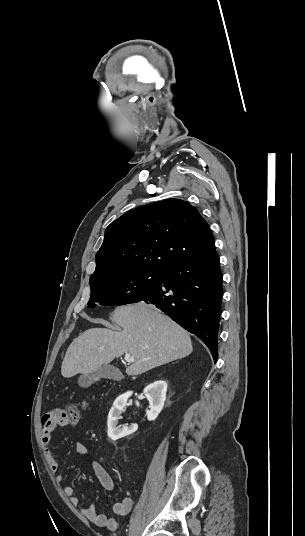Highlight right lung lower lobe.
<instances>
[{
    "mask_svg": "<svg viewBox=\"0 0 305 536\" xmlns=\"http://www.w3.org/2000/svg\"><path fill=\"white\" fill-rule=\"evenodd\" d=\"M222 279L214 247L197 258L168 268L161 284L138 302L154 304L199 337L216 361Z\"/></svg>",
    "mask_w": 305,
    "mask_h": 536,
    "instance_id": "right-lung-lower-lobe-1",
    "label": "right lung lower lobe"
}]
</instances>
